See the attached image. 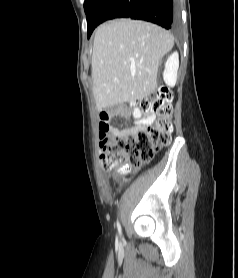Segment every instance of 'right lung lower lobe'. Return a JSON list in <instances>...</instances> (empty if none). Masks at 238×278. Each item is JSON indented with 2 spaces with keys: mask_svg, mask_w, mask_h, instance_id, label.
<instances>
[{
  "mask_svg": "<svg viewBox=\"0 0 238 278\" xmlns=\"http://www.w3.org/2000/svg\"><path fill=\"white\" fill-rule=\"evenodd\" d=\"M118 17L145 20L166 29L179 25L176 0H96L87 12L88 38L97 25Z\"/></svg>",
  "mask_w": 238,
  "mask_h": 278,
  "instance_id": "1",
  "label": "right lung lower lobe"
}]
</instances>
